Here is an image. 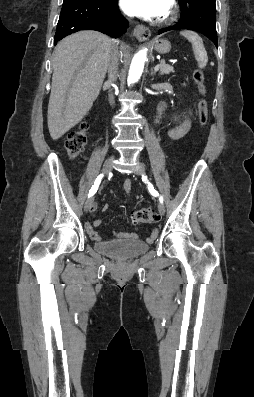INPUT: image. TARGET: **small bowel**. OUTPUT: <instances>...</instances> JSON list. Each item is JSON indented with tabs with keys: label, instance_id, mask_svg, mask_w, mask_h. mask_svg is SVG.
I'll return each mask as SVG.
<instances>
[{
	"label": "small bowel",
	"instance_id": "obj_1",
	"mask_svg": "<svg viewBox=\"0 0 254 397\" xmlns=\"http://www.w3.org/2000/svg\"><path fill=\"white\" fill-rule=\"evenodd\" d=\"M165 109V103H162L159 108H158V114L156 118V122H158L161 118L162 113L164 112ZM190 128V121L188 118L184 119V121L176 128L172 129L169 131V136L172 139H179L183 137L189 130ZM124 190L127 195H130L131 192V181L129 179H126L124 181ZM108 209L107 206L103 208L104 211ZM97 210V205L92 204L90 208V214L93 216ZM102 223V220L100 218H94L93 220L90 218L86 221L85 223V229L89 235V237L94 240V241H101L102 238L98 234V232L95 230V227L99 226ZM115 235L118 238H127V239H135L137 238V234L134 232H115ZM157 236V230L153 231L151 236L147 239L148 241H152L156 238Z\"/></svg>",
	"mask_w": 254,
	"mask_h": 397
}]
</instances>
